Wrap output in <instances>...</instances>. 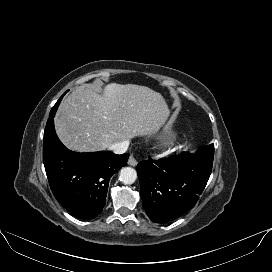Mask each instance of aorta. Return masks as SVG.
<instances>
[{"mask_svg": "<svg viewBox=\"0 0 272 272\" xmlns=\"http://www.w3.org/2000/svg\"><path fill=\"white\" fill-rule=\"evenodd\" d=\"M137 179L136 170L131 167H124L120 171V181L125 185L133 184Z\"/></svg>", "mask_w": 272, "mask_h": 272, "instance_id": "1", "label": "aorta"}]
</instances>
